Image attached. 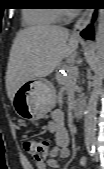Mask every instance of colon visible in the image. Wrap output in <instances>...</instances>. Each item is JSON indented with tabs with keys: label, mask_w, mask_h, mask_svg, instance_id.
Wrapping results in <instances>:
<instances>
[{
	"label": "colon",
	"mask_w": 104,
	"mask_h": 169,
	"mask_svg": "<svg viewBox=\"0 0 104 169\" xmlns=\"http://www.w3.org/2000/svg\"><path fill=\"white\" fill-rule=\"evenodd\" d=\"M23 147L25 151L38 162L44 161L51 151L49 140L29 134L23 135Z\"/></svg>",
	"instance_id": "colon-1"
}]
</instances>
